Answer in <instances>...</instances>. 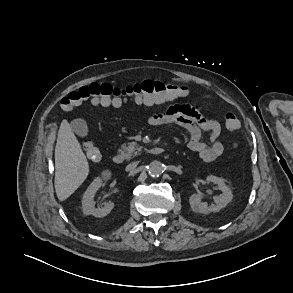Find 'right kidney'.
<instances>
[{
	"instance_id": "obj_1",
	"label": "right kidney",
	"mask_w": 293,
	"mask_h": 293,
	"mask_svg": "<svg viewBox=\"0 0 293 293\" xmlns=\"http://www.w3.org/2000/svg\"><path fill=\"white\" fill-rule=\"evenodd\" d=\"M102 186V179L96 178L89 185L82 198L83 213L101 218L107 216L114 208V203H107L102 208H95L94 196L96 191Z\"/></svg>"
}]
</instances>
